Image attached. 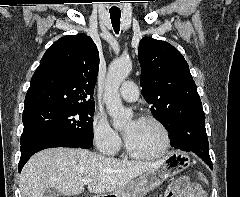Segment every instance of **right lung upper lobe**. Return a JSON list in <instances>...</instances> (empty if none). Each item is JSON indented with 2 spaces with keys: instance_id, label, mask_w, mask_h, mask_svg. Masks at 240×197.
<instances>
[{
  "instance_id": "1",
  "label": "right lung upper lobe",
  "mask_w": 240,
  "mask_h": 197,
  "mask_svg": "<svg viewBox=\"0 0 240 197\" xmlns=\"http://www.w3.org/2000/svg\"><path fill=\"white\" fill-rule=\"evenodd\" d=\"M99 52L86 34L67 35L44 53L32 76L24 111L46 105L93 106Z\"/></svg>"
}]
</instances>
